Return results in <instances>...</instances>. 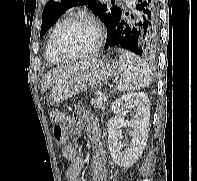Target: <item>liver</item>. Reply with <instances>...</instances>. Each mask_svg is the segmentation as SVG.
<instances>
[{
	"label": "liver",
	"mask_w": 197,
	"mask_h": 181,
	"mask_svg": "<svg viewBox=\"0 0 197 181\" xmlns=\"http://www.w3.org/2000/svg\"><path fill=\"white\" fill-rule=\"evenodd\" d=\"M87 66V62L69 65V66H61L50 70L44 78V81L41 86V91L44 93L48 88L53 86L58 81H61L65 78L71 77L77 72L84 70Z\"/></svg>",
	"instance_id": "liver-1"
}]
</instances>
